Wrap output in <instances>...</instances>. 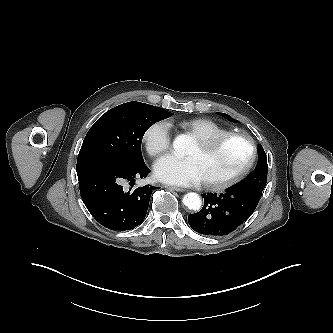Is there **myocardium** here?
<instances>
[{"label": "myocardium", "instance_id": "obj_1", "mask_svg": "<svg viewBox=\"0 0 333 333\" xmlns=\"http://www.w3.org/2000/svg\"><path fill=\"white\" fill-rule=\"evenodd\" d=\"M229 140H239L245 144L248 153L247 159L239 170L227 178L218 181L204 180V185L211 190L220 191L231 187L243 179L254 165L256 159V147L252 139L246 134L227 132L208 139H197L196 143L201 150L208 152L218 148Z\"/></svg>", "mask_w": 333, "mask_h": 333}]
</instances>
